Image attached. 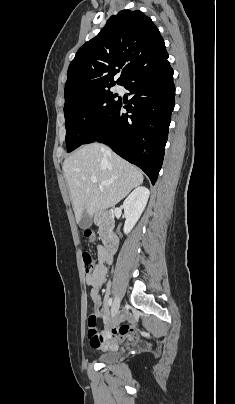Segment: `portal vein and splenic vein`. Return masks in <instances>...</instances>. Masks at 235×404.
<instances>
[{
    "mask_svg": "<svg viewBox=\"0 0 235 404\" xmlns=\"http://www.w3.org/2000/svg\"><path fill=\"white\" fill-rule=\"evenodd\" d=\"M91 181H92L93 183H97L96 177H92V178H91ZM110 184H111V182H102V183L99 185V187H103V186L110 185Z\"/></svg>",
    "mask_w": 235,
    "mask_h": 404,
    "instance_id": "18ae733b",
    "label": "portal vein and splenic vein"
}]
</instances>
